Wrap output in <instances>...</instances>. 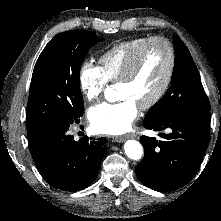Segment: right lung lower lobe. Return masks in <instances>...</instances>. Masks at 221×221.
<instances>
[{
  "label": "right lung lower lobe",
  "mask_w": 221,
  "mask_h": 221,
  "mask_svg": "<svg viewBox=\"0 0 221 221\" xmlns=\"http://www.w3.org/2000/svg\"><path fill=\"white\" fill-rule=\"evenodd\" d=\"M80 117L50 125L34 143L30 153L45 181L56 189L79 191L91 185L106 154L105 137L79 141L68 134L72 123Z\"/></svg>",
  "instance_id": "98d812e1"
}]
</instances>
